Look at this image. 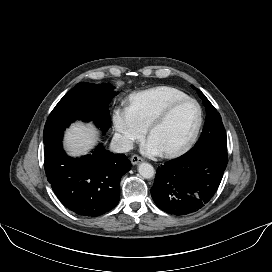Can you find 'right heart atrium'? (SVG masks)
Listing matches in <instances>:
<instances>
[{
    "label": "right heart atrium",
    "instance_id": "right-heart-atrium-1",
    "mask_svg": "<svg viewBox=\"0 0 272 272\" xmlns=\"http://www.w3.org/2000/svg\"><path fill=\"white\" fill-rule=\"evenodd\" d=\"M116 138L119 144L129 149L146 133V127L141 124L129 107L117 108L113 116Z\"/></svg>",
    "mask_w": 272,
    "mask_h": 272
}]
</instances>
